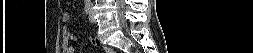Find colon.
<instances>
[{
  "instance_id": "1",
  "label": "colon",
  "mask_w": 253,
  "mask_h": 53,
  "mask_svg": "<svg viewBox=\"0 0 253 53\" xmlns=\"http://www.w3.org/2000/svg\"><path fill=\"white\" fill-rule=\"evenodd\" d=\"M90 43H91L93 46H95V47H101V46H102L101 42H100L99 39H97V38L91 39V40H90ZM104 50H105L106 53H113L112 50H111L110 48H104Z\"/></svg>"
}]
</instances>
